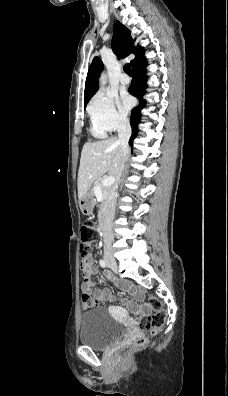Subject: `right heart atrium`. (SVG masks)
<instances>
[{
	"label": "right heart atrium",
	"mask_w": 228,
	"mask_h": 396,
	"mask_svg": "<svg viewBox=\"0 0 228 396\" xmlns=\"http://www.w3.org/2000/svg\"><path fill=\"white\" fill-rule=\"evenodd\" d=\"M88 112L93 125L104 132H113L127 124V118L116 107L112 94L98 92L91 99Z\"/></svg>",
	"instance_id": "obj_1"
}]
</instances>
